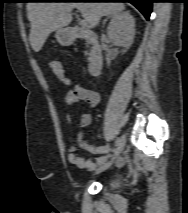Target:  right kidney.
Instances as JSON below:
<instances>
[{
  "mask_svg": "<svg viewBox=\"0 0 188 213\" xmlns=\"http://www.w3.org/2000/svg\"><path fill=\"white\" fill-rule=\"evenodd\" d=\"M107 35L115 45L123 47V52H126L135 37L134 17L128 11L114 15L108 25Z\"/></svg>",
  "mask_w": 188,
  "mask_h": 213,
  "instance_id": "1",
  "label": "right kidney"
}]
</instances>
